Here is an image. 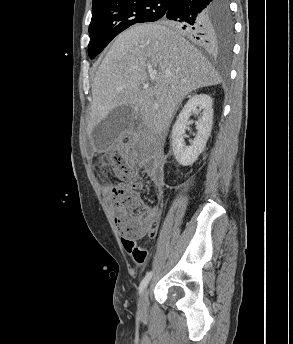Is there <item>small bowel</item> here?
Wrapping results in <instances>:
<instances>
[{"instance_id":"obj_1","label":"small bowel","mask_w":293,"mask_h":344,"mask_svg":"<svg viewBox=\"0 0 293 344\" xmlns=\"http://www.w3.org/2000/svg\"><path fill=\"white\" fill-rule=\"evenodd\" d=\"M137 239H129L126 237L121 238L122 245L125 251L131 256L133 261L138 265H143L149 256V252L147 249L148 242L144 244H139Z\"/></svg>"}]
</instances>
